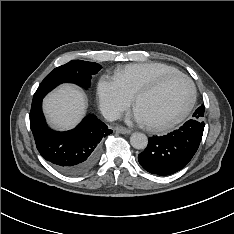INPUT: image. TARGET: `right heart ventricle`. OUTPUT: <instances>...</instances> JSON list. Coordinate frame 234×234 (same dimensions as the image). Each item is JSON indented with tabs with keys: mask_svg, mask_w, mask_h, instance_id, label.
Wrapping results in <instances>:
<instances>
[{
	"mask_svg": "<svg viewBox=\"0 0 234 234\" xmlns=\"http://www.w3.org/2000/svg\"><path fill=\"white\" fill-rule=\"evenodd\" d=\"M174 72L179 71L163 63H136L118 69L115 77L124 90L133 98L141 88L165 74Z\"/></svg>",
	"mask_w": 234,
	"mask_h": 234,
	"instance_id": "right-heart-ventricle-1",
	"label": "right heart ventricle"
}]
</instances>
